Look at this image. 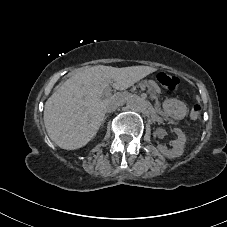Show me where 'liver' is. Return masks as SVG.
Returning <instances> with one entry per match:
<instances>
[{
  "label": "liver",
  "mask_w": 227,
  "mask_h": 227,
  "mask_svg": "<svg viewBox=\"0 0 227 227\" xmlns=\"http://www.w3.org/2000/svg\"><path fill=\"white\" fill-rule=\"evenodd\" d=\"M156 71L148 66H95L73 74L45 102L43 122L48 137L66 150L84 147L102 125L103 90L112 81L115 89L125 90Z\"/></svg>",
  "instance_id": "liver-1"
}]
</instances>
